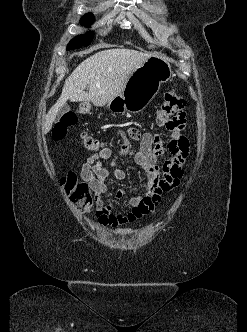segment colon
Instances as JSON below:
<instances>
[{"label": "colon", "mask_w": 247, "mask_h": 332, "mask_svg": "<svg viewBox=\"0 0 247 332\" xmlns=\"http://www.w3.org/2000/svg\"><path fill=\"white\" fill-rule=\"evenodd\" d=\"M185 106L184 97L175 90H168L164 93L163 101L156 114L157 123L165 126L171 131L181 129L185 122L183 108ZM89 106H80V112H89ZM77 123L75 113H67L53 128L52 135L55 140L63 139L68 129ZM83 145L88 152L96 153L102 149V144L91 136H83ZM62 185L70 200L83 210H89L92 206V198L89 187L85 182H80L74 173H70L62 179Z\"/></svg>", "instance_id": "colon-1"}]
</instances>
